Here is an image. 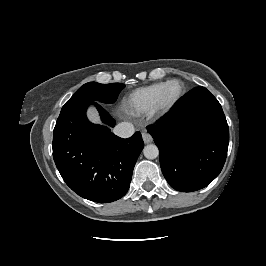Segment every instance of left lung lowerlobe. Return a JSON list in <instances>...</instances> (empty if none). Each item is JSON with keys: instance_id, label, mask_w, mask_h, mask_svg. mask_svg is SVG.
I'll use <instances>...</instances> for the list:
<instances>
[{"instance_id": "0a47b994", "label": "left lung lower lobe", "mask_w": 266, "mask_h": 266, "mask_svg": "<svg viewBox=\"0 0 266 266\" xmlns=\"http://www.w3.org/2000/svg\"><path fill=\"white\" fill-rule=\"evenodd\" d=\"M149 133L159 148L162 173L178 191L206 187L224 166L228 124L220 103L204 87L179 99Z\"/></svg>"}]
</instances>
